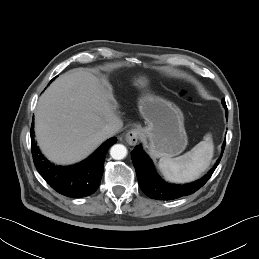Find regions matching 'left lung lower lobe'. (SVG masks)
Returning <instances> with one entry per match:
<instances>
[{
	"label": "left lung lower lobe",
	"instance_id": "0a47b994",
	"mask_svg": "<svg viewBox=\"0 0 259 259\" xmlns=\"http://www.w3.org/2000/svg\"><path fill=\"white\" fill-rule=\"evenodd\" d=\"M222 102L226 109V117H228L225 100H222ZM225 144L226 142L223 143V150L225 148ZM221 157L222 155L220 158ZM131 158L141 190L151 199L156 200H173L193 194L209 180L220 162V159H218L214 167L200 180L185 185H175L165 182L157 175L151 159L144 153L141 145H137L134 148L131 153Z\"/></svg>",
	"mask_w": 259,
	"mask_h": 259
}]
</instances>
